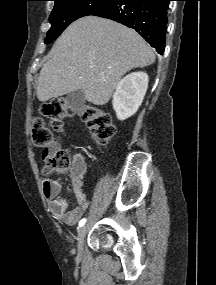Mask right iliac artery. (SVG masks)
Masks as SVG:
<instances>
[{"instance_id": "1", "label": "right iliac artery", "mask_w": 216, "mask_h": 285, "mask_svg": "<svg viewBox=\"0 0 216 285\" xmlns=\"http://www.w3.org/2000/svg\"><path fill=\"white\" fill-rule=\"evenodd\" d=\"M86 223V218H83L79 222V227L83 226Z\"/></svg>"}]
</instances>
